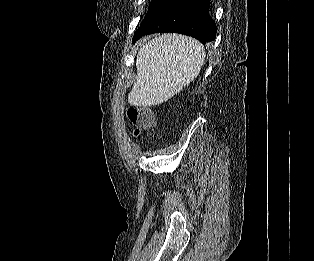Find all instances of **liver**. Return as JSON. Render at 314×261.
Segmentation results:
<instances>
[{
	"instance_id": "6515ba94",
	"label": "liver",
	"mask_w": 314,
	"mask_h": 261,
	"mask_svg": "<svg viewBox=\"0 0 314 261\" xmlns=\"http://www.w3.org/2000/svg\"><path fill=\"white\" fill-rule=\"evenodd\" d=\"M205 56L203 45L184 35L162 34L141 43L128 103L148 107L169 100L197 77Z\"/></svg>"
}]
</instances>
